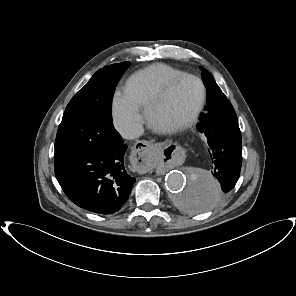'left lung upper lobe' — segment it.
<instances>
[{
  "label": "left lung upper lobe",
  "mask_w": 296,
  "mask_h": 296,
  "mask_svg": "<svg viewBox=\"0 0 296 296\" xmlns=\"http://www.w3.org/2000/svg\"><path fill=\"white\" fill-rule=\"evenodd\" d=\"M202 79L207 88V105L205 107V111L208 110L218 99L224 97L225 95L221 93V89L216 84L211 73L201 67Z\"/></svg>",
  "instance_id": "left-lung-upper-lobe-1"
}]
</instances>
